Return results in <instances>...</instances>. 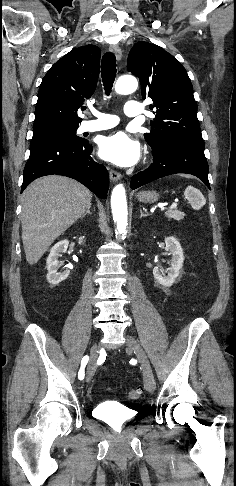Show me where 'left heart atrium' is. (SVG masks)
Returning <instances> with one entry per match:
<instances>
[{"label":"left heart atrium","instance_id":"1","mask_svg":"<svg viewBox=\"0 0 236 486\" xmlns=\"http://www.w3.org/2000/svg\"><path fill=\"white\" fill-rule=\"evenodd\" d=\"M140 154V144L123 131L103 137L99 143L100 157L121 167L137 163Z\"/></svg>","mask_w":236,"mask_h":486}]
</instances>
